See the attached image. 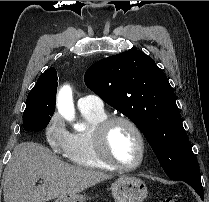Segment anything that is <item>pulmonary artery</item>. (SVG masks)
<instances>
[{
    "label": "pulmonary artery",
    "mask_w": 209,
    "mask_h": 202,
    "mask_svg": "<svg viewBox=\"0 0 209 202\" xmlns=\"http://www.w3.org/2000/svg\"><path fill=\"white\" fill-rule=\"evenodd\" d=\"M79 110H103V101L95 94H87L80 97L77 101Z\"/></svg>",
    "instance_id": "e3ab8cb5"
}]
</instances>
